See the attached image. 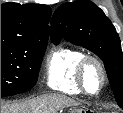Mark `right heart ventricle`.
<instances>
[{
    "instance_id": "1",
    "label": "right heart ventricle",
    "mask_w": 123,
    "mask_h": 113,
    "mask_svg": "<svg viewBox=\"0 0 123 113\" xmlns=\"http://www.w3.org/2000/svg\"><path fill=\"white\" fill-rule=\"evenodd\" d=\"M83 56L80 50L68 46L52 49L46 61L47 86L64 93L82 90L77 82L76 70Z\"/></svg>"
}]
</instances>
